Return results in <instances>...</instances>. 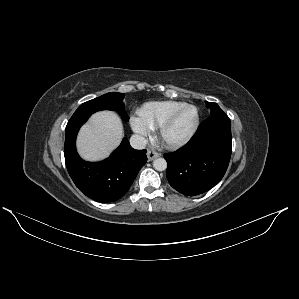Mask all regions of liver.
<instances>
[{
    "label": "liver",
    "mask_w": 299,
    "mask_h": 299,
    "mask_svg": "<svg viewBox=\"0 0 299 299\" xmlns=\"http://www.w3.org/2000/svg\"><path fill=\"white\" fill-rule=\"evenodd\" d=\"M122 137L123 126L116 113L96 112L80 129L77 149L85 160H102L120 144Z\"/></svg>",
    "instance_id": "6515ba94"
}]
</instances>
